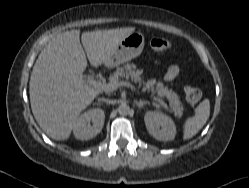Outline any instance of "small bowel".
Masks as SVG:
<instances>
[{
  "label": "small bowel",
  "instance_id": "small-bowel-1",
  "mask_svg": "<svg viewBox=\"0 0 249 188\" xmlns=\"http://www.w3.org/2000/svg\"><path fill=\"white\" fill-rule=\"evenodd\" d=\"M179 73V67L177 65H171L163 75V80L166 82L172 81Z\"/></svg>",
  "mask_w": 249,
  "mask_h": 188
}]
</instances>
